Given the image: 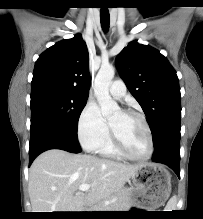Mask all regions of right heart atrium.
I'll return each mask as SVG.
<instances>
[{"label":"right heart atrium","mask_w":203,"mask_h":219,"mask_svg":"<svg viewBox=\"0 0 203 219\" xmlns=\"http://www.w3.org/2000/svg\"><path fill=\"white\" fill-rule=\"evenodd\" d=\"M78 138L85 150L96 151L109 135V125L96 103L89 101L77 123Z\"/></svg>","instance_id":"d8ad5b80"}]
</instances>
